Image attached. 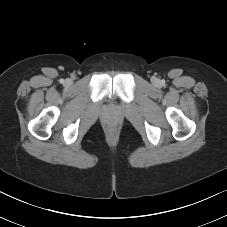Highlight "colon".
<instances>
[{
  "label": "colon",
  "mask_w": 227,
  "mask_h": 227,
  "mask_svg": "<svg viewBox=\"0 0 227 227\" xmlns=\"http://www.w3.org/2000/svg\"><path fill=\"white\" fill-rule=\"evenodd\" d=\"M109 130H110V131H113V128H112V127H110V128H109Z\"/></svg>",
  "instance_id": "obj_1"
}]
</instances>
